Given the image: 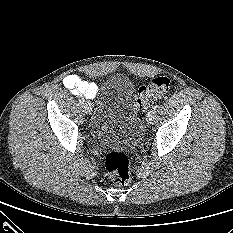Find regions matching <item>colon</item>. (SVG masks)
<instances>
[{
  "mask_svg": "<svg viewBox=\"0 0 233 233\" xmlns=\"http://www.w3.org/2000/svg\"><path fill=\"white\" fill-rule=\"evenodd\" d=\"M170 85L168 77L158 76L148 85L140 87L136 96L138 108L146 109L156 98L166 94ZM104 167L108 180L115 186H124L131 179L130 159L123 151H109L104 159Z\"/></svg>",
  "mask_w": 233,
  "mask_h": 233,
  "instance_id": "obj_1",
  "label": "colon"
}]
</instances>
